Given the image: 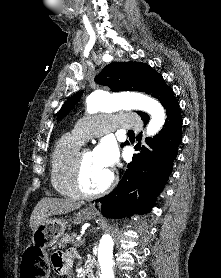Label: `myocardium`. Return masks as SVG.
Instances as JSON below:
<instances>
[{"label":"myocardium","mask_w":221,"mask_h":278,"mask_svg":"<svg viewBox=\"0 0 221 278\" xmlns=\"http://www.w3.org/2000/svg\"><path fill=\"white\" fill-rule=\"evenodd\" d=\"M91 152L90 149H79L72 161L70 168V184L75 194L82 199H92L109 192L116 184L117 175L111 171L109 181L104 187L96 191H88L82 182V165L85 154Z\"/></svg>","instance_id":"myocardium-1"}]
</instances>
